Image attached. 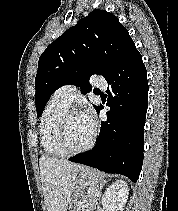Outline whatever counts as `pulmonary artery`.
Returning <instances> with one entry per match:
<instances>
[{
  "label": "pulmonary artery",
  "mask_w": 178,
  "mask_h": 211,
  "mask_svg": "<svg viewBox=\"0 0 178 211\" xmlns=\"http://www.w3.org/2000/svg\"><path fill=\"white\" fill-rule=\"evenodd\" d=\"M90 83L101 89H105L106 81L103 78L91 77ZM77 93V87L73 84H68L60 87L55 94L67 104H71Z\"/></svg>",
  "instance_id": "e3ab8cb5"
}]
</instances>
